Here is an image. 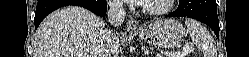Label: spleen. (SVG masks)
Wrapping results in <instances>:
<instances>
[{
	"label": "spleen",
	"instance_id": "1",
	"mask_svg": "<svg viewBox=\"0 0 249 57\" xmlns=\"http://www.w3.org/2000/svg\"><path fill=\"white\" fill-rule=\"evenodd\" d=\"M185 24L193 43L204 52V57H216L213 38L207 29L194 19L185 20Z\"/></svg>",
	"mask_w": 249,
	"mask_h": 57
}]
</instances>
